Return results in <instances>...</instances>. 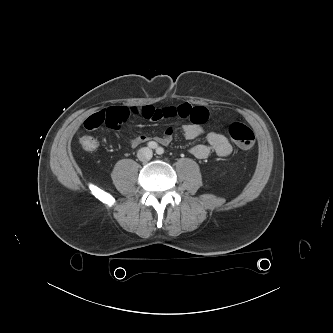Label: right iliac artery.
I'll use <instances>...</instances> for the list:
<instances>
[{
  "label": "right iliac artery",
  "mask_w": 333,
  "mask_h": 333,
  "mask_svg": "<svg viewBox=\"0 0 333 333\" xmlns=\"http://www.w3.org/2000/svg\"><path fill=\"white\" fill-rule=\"evenodd\" d=\"M147 146L151 149H157L158 144L154 141H150V142L147 143Z\"/></svg>",
  "instance_id": "right-iliac-artery-1"
}]
</instances>
